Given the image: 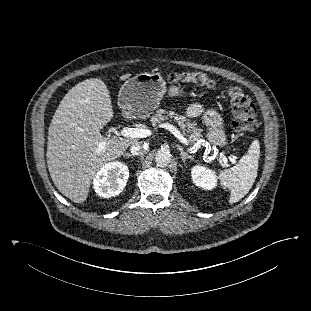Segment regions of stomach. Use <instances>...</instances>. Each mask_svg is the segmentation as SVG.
I'll use <instances>...</instances> for the list:
<instances>
[{
    "label": "stomach",
    "mask_w": 311,
    "mask_h": 311,
    "mask_svg": "<svg viewBox=\"0 0 311 311\" xmlns=\"http://www.w3.org/2000/svg\"><path fill=\"white\" fill-rule=\"evenodd\" d=\"M165 93L166 82L160 74L141 73L122 85L118 94V105L124 115L146 118L159 106ZM184 93L182 88L175 86L170 87L168 91L170 97L182 96ZM203 122L208 128L206 137L209 144L216 148H223L229 144L224 119L216 110H207Z\"/></svg>",
    "instance_id": "stomach-1"
}]
</instances>
